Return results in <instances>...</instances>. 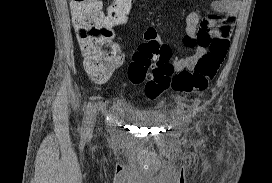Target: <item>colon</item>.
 <instances>
[{"label": "colon", "instance_id": "colon-1", "mask_svg": "<svg viewBox=\"0 0 272 183\" xmlns=\"http://www.w3.org/2000/svg\"><path fill=\"white\" fill-rule=\"evenodd\" d=\"M135 0H112L104 12L100 0H71L70 8L75 34L87 72L93 79H104L121 63L113 42V27L125 23ZM209 50L193 70L176 72L169 62L171 49L161 42H144L134 53L128 68L131 83H145V94L155 99L166 91L192 93L204 91L224 62L229 41L227 35L215 36Z\"/></svg>", "mask_w": 272, "mask_h": 183}]
</instances>
